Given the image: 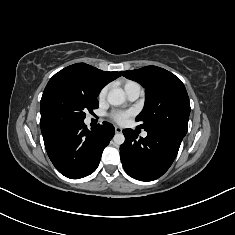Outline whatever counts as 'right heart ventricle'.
I'll return each mask as SVG.
<instances>
[{
    "label": "right heart ventricle",
    "instance_id": "obj_1",
    "mask_svg": "<svg viewBox=\"0 0 235 235\" xmlns=\"http://www.w3.org/2000/svg\"><path fill=\"white\" fill-rule=\"evenodd\" d=\"M132 86H139V84L134 81H126L124 84V89L126 90L127 88L132 87Z\"/></svg>",
    "mask_w": 235,
    "mask_h": 235
}]
</instances>
